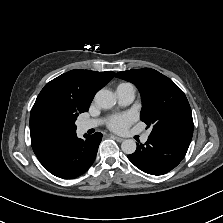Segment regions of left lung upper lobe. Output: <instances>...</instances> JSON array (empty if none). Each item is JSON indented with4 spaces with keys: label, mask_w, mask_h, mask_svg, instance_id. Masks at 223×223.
Wrapping results in <instances>:
<instances>
[{
    "label": "left lung upper lobe",
    "mask_w": 223,
    "mask_h": 223,
    "mask_svg": "<svg viewBox=\"0 0 223 223\" xmlns=\"http://www.w3.org/2000/svg\"><path fill=\"white\" fill-rule=\"evenodd\" d=\"M118 78L136 85L142 97L140 119L152 127L150 136L189 147L192 112L184 92L168 77L150 68L118 72Z\"/></svg>",
    "instance_id": "left-lung-upper-lobe-1"
}]
</instances>
